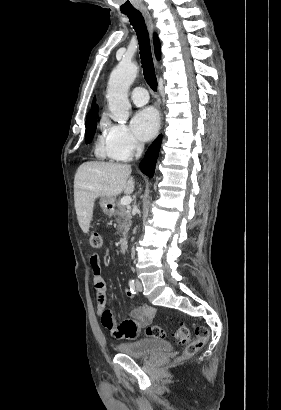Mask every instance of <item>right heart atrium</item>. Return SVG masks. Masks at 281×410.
<instances>
[{
	"label": "right heart atrium",
	"mask_w": 281,
	"mask_h": 410,
	"mask_svg": "<svg viewBox=\"0 0 281 410\" xmlns=\"http://www.w3.org/2000/svg\"><path fill=\"white\" fill-rule=\"evenodd\" d=\"M106 134L111 148L121 160H128L142 149L141 142L123 124H106Z\"/></svg>",
	"instance_id": "d8ad5b80"
}]
</instances>
